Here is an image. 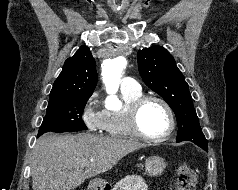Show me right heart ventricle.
Masks as SVG:
<instances>
[{"label": "right heart ventricle", "instance_id": "obj_1", "mask_svg": "<svg viewBox=\"0 0 238 190\" xmlns=\"http://www.w3.org/2000/svg\"><path fill=\"white\" fill-rule=\"evenodd\" d=\"M124 105L120 110H106L104 131L116 138H134L128 124V108L137 98L142 96L141 89L138 91L122 90Z\"/></svg>", "mask_w": 238, "mask_h": 190}]
</instances>
